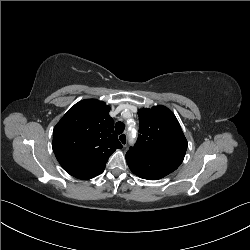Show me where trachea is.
<instances>
[{"mask_svg":"<svg viewBox=\"0 0 250 250\" xmlns=\"http://www.w3.org/2000/svg\"><path fill=\"white\" fill-rule=\"evenodd\" d=\"M125 129V125L122 122H117L115 124V131L117 134H121Z\"/></svg>","mask_w":250,"mask_h":250,"instance_id":"trachea-1","label":"trachea"}]
</instances>
